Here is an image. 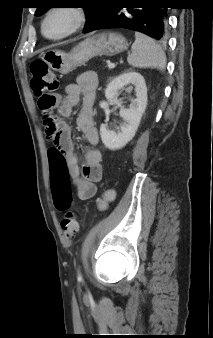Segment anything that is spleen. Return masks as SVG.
Returning <instances> with one entry per match:
<instances>
[{
	"instance_id": "obj_1",
	"label": "spleen",
	"mask_w": 213,
	"mask_h": 338,
	"mask_svg": "<svg viewBox=\"0 0 213 338\" xmlns=\"http://www.w3.org/2000/svg\"><path fill=\"white\" fill-rule=\"evenodd\" d=\"M128 55L129 65L136 68H155L163 71L166 66V55L161 46L152 38L136 32L135 42Z\"/></svg>"
}]
</instances>
